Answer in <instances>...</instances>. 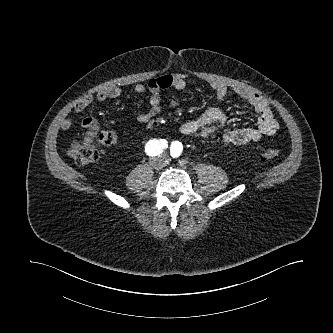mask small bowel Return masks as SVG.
Listing matches in <instances>:
<instances>
[{
  "label": "small bowel",
  "mask_w": 333,
  "mask_h": 333,
  "mask_svg": "<svg viewBox=\"0 0 333 333\" xmlns=\"http://www.w3.org/2000/svg\"><path fill=\"white\" fill-rule=\"evenodd\" d=\"M186 80L182 74H164L152 78L145 84H137L134 87L136 94H149V108L138 115L137 119L141 123L150 121L161 111V92L167 89H175L182 91L186 87ZM211 88L215 91L216 98L223 100L228 93V87L223 83L211 82ZM234 92L237 96L245 100L253 111L257 114L256 128H238L228 131L223 135L221 140L217 142V146L225 148L231 145H245L250 142H256L263 136H272L279 129V123L275 119L273 112L266 100L257 93L250 92L243 88H235ZM121 90L117 87H110L99 91L95 97L86 95L77 101L72 112L81 113L88 108L94 100L104 102L108 99L120 97ZM176 102L172 101V105ZM226 120L224 112L219 108H211L201 115L189 119L180 126V132L184 135H192L199 133L204 137H210L216 134L223 126ZM60 125L63 129H68L72 125L70 118L65 117L61 120ZM81 127L87 129V133L98 128L97 120L88 116L81 120Z\"/></svg>",
  "instance_id": "1"
}]
</instances>
